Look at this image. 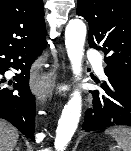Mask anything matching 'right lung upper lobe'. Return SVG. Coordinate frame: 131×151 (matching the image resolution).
<instances>
[{"mask_svg":"<svg viewBox=\"0 0 131 151\" xmlns=\"http://www.w3.org/2000/svg\"><path fill=\"white\" fill-rule=\"evenodd\" d=\"M42 0H0V49L46 43Z\"/></svg>","mask_w":131,"mask_h":151,"instance_id":"obj_1","label":"right lung upper lobe"}]
</instances>
